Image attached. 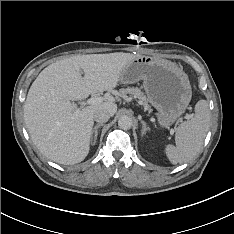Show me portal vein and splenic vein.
<instances>
[{
	"mask_svg": "<svg viewBox=\"0 0 234 234\" xmlns=\"http://www.w3.org/2000/svg\"><path fill=\"white\" fill-rule=\"evenodd\" d=\"M104 99H105L104 97H92V98L88 99L87 102L83 103V104H82V107L85 106V105H95V104H99V103L103 102ZM186 117H187V118H190L191 116L188 115V116H186Z\"/></svg>",
	"mask_w": 234,
	"mask_h": 234,
	"instance_id": "portal-vein-and-splenic-vein-1",
	"label": "portal vein and splenic vein"
}]
</instances>
